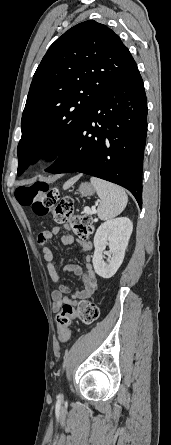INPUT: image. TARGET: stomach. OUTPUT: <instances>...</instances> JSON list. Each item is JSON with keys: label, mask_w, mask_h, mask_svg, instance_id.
I'll use <instances>...</instances> for the list:
<instances>
[{"label": "stomach", "mask_w": 171, "mask_h": 445, "mask_svg": "<svg viewBox=\"0 0 171 445\" xmlns=\"http://www.w3.org/2000/svg\"><path fill=\"white\" fill-rule=\"evenodd\" d=\"M78 193L82 196L89 197L95 193V189L91 184L85 182L79 186Z\"/></svg>", "instance_id": "0dacf381"}]
</instances>
